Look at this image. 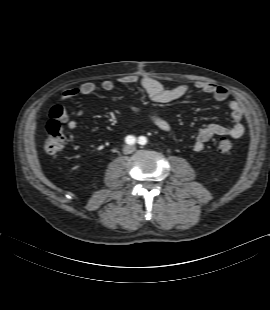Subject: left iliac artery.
Listing matches in <instances>:
<instances>
[{"label":"left iliac artery","mask_w":270,"mask_h":310,"mask_svg":"<svg viewBox=\"0 0 270 310\" xmlns=\"http://www.w3.org/2000/svg\"><path fill=\"white\" fill-rule=\"evenodd\" d=\"M138 141H139L138 143L141 145H145L147 143V139L144 136L139 137Z\"/></svg>","instance_id":"44dca946"}]
</instances>
